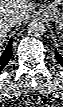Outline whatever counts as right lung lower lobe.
I'll return each instance as SVG.
<instances>
[{
    "label": "right lung lower lobe",
    "mask_w": 63,
    "mask_h": 107,
    "mask_svg": "<svg viewBox=\"0 0 63 107\" xmlns=\"http://www.w3.org/2000/svg\"><path fill=\"white\" fill-rule=\"evenodd\" d=\"M12 56V38L8 42V45L3 52V54L0 56V72L5 67V65L8 63L9 59Z\"/></svg>",
    "instance_id": "right-lung-lower-lobe-1"
}]
</instances>
